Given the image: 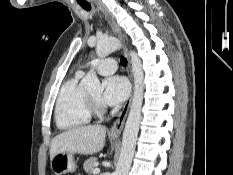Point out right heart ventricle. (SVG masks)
<instances>
[{
    "instance_id": "1",
    "label": "right heart ventricle",
    "mask_w": 233,
    "mask_h": 175,
    "mask_svg": "<svg viewBox=\"0 0 233 175\" xmlns=\"http://www.w3.org/2000/svg\"><path fill=\"white\" fill-rule=\"evenodd\" d=\"M78 73L61 86L57 95L54 119L61 130H74L89 124L91 114L86 106V93L80 87Z\"/></svg>"
}]
</instances>
